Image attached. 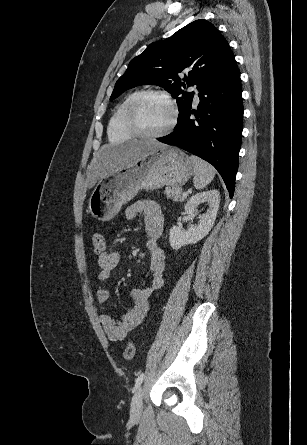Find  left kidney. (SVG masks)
Listing matches in <instances>:
<instances>
[{"label":"left kidney","mask_w":307,"mask_h":445,"mask_svg":"<svg viewBox=\"0 0 307 445\" xmlns=\"http://www.w3.org/2000/svg\"><path fill=\"white\" fill-rule=\"evenodd\" d=\"M207 200L209 208L207 212L201 214L200 220L196 227H191L188 231H184L183 227H172L170 229L169 241L172 249L178 251L185 245H194L201 239H204L211 231L214 220L216 218L217 210L219 208L220 196L218 190H206V192H197L193 194L185 204V212H195L200 202Z\"/></svg>","instance_id":"obj_1"}]
</instances>
